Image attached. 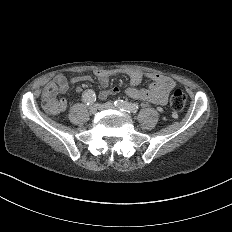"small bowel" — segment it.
<instances>
[{
    "label": "small bowel",
    "instance_id": "1",
    "mask_svg": "<svg viewBox=\"0 0 232 232\" xmlns=\"http://www.w3.org/2000/svg\"><path fill=\"white\" fill-rule=\"evenodd\" d=\"M127 73L130 76V83L133 86L140 84L144 80V75L139 71L129 70ZM114 74L115 70L112 69L96 70L98 80L105 88L99 95V98L102 101L113 98L116 95L114 91L107 88L110 83V78ZM150 79L152 82L147 88L137 89L130 86L125 89V94L130 98L165 104L167 102V94L171 89L174 88L175 82L171 78L159 73L152 74ZM88 81L89 79L85 77H73L68 79L63 74H56L52 80L47 82L43 91L47 95H54L69 86L84 84ZM81 90L82 89L80 87L77 88L78 92Z\"/></svg>",
    "mask_w": 232,
    "mask_h": 232
}]
</instances>
